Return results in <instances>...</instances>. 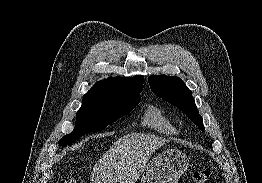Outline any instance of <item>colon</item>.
I'll return each instance as SVG.
<instances>
[{
    "label": "colon",
    "mask_w": 262,
    "mask_h": 183,
    "mask_svg": "<svg viewBox=\"0 0 262 183\" xmlns=\"http://www.w3.org/2000/svg\"><path fill=\"white\" fill-rule=\"evenodd\" d=\"M210 178L208 170H197L192 173V180L194 183H206ZM60 183H78L76 178H68L62 180Z\"/></svg>",
    "instance_id": "obj_1"
}]
</instances>
